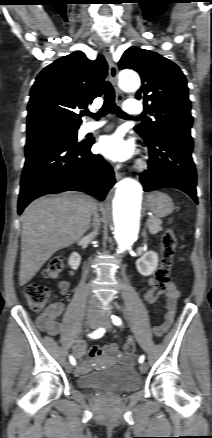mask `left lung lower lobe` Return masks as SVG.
<instances>
[{
	"instance_id": "1",
	"label": "left lung lower lobe",
	"mask_w": 212,
	"mask_h": 438,
	"mask_svg": "<svg viewBox=\"0 0 212 438\" xmlns=\"http://www.w3.org/2000/svg\"><path fill=\"white\" fill-rule=\"evenodd\" d=\"M143 139L149 145L148 170L140 177L144 191L176 188L197 203V175L191 156L193 139L190 131H162L150 139Z\"/></svg>"
}]
</instances>
